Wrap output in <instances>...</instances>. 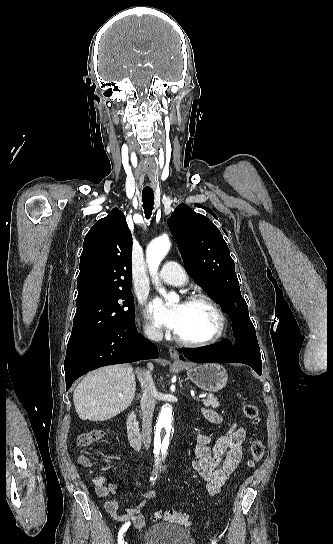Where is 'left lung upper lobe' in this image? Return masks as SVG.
Returning a JSON list of instances; mask_svg holds the SVG:
<instances>
[{"mask_svg":"<svg viewBox=\"0 0 333 544\" xmlns=\"http://www.w3.org/2000/svg\"><path fill=\"white\" fill-rule=\"evenodd\" d=\"M168 225L195 282L223 302V309L233 323L241 318L249 320L234 261L218 228L184 204L175 209Z\"/></svg>","mask_w":333,"mask_h":544,"instance_id":"left-lung-upper-lobe-1","label":"left lung upper lobe"}]
</instances>
